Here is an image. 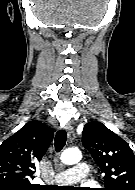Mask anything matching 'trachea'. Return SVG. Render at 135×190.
<instances>
[{
    "mask_svg": "<svg viewBox=\"0 0 135 190\" xmlns=\"http://www.w3.org/2000/svg\"><path fill=\"white\" fill-rule=\"evenodd\" d=\"M66 140H67V133L65 130H60L56 133L55 149L57 152H60L63 149V147L66 144Z\"/></svg>",
    "mask_w": 135,
    "mask_h": 190,
    "instance_id": "1",
    "label": "trachea"
}]
</instances>
